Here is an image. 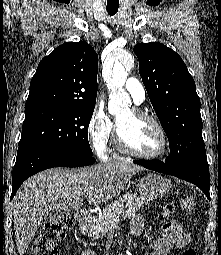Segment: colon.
<instances>
[{"label": "colon", "instance_id": "5ec220e1", "mask_svg": "<svg viewBox=\"0 0 221 255\" xmlns=\"http://www.w3.org/2000/svg\"><path fill=\"white\" fill-rule=\"evenodd\" d=\"M181 208L186 212H191L195 207V199L185 196L180 202ZM174 208L170 204L163 207V216L170 217ZM72 221L66 214L57 215L48 220L42 230L31 244L29 255H56V245L64 237L71 227ZM183 255H196L193 249H186Z\"/></svg>", "mask_w": 221, "mask_h": 255}]
</instances>
